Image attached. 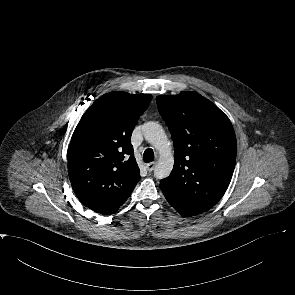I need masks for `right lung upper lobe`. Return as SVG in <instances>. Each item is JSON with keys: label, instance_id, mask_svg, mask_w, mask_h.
I'll return each instance as SVG.
<instances>
[{"label": "right lung upper lobe", "instance_id": "obj_1", "mask_svg": "<svg viewBox=\"0 0 295 295\" xmlns=\"http://www.w3.org/2000/svg\"><path fill=\"white\" fill-rule=\"evenodd\" d=\"M151 100L150 94L110 92L81 117L68 148V173L75 194L91 210L115 213L139 181L130 139Z\"/></svg>", "mask_w": 295, "mask_h": 295}]
</instances>
